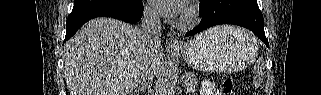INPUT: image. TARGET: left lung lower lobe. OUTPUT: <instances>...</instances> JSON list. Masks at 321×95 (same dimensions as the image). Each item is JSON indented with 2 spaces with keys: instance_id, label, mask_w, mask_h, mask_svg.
<instances>
[{
  "instance_id": "left-lung-lower-lobe-1",
  "label": "left lung lower lobe",
  "mask_w": 321,
  "mask_h": 95,
  "mask_svg": "<svg viewBox=\"0 0 321 95\" xmlns=\"http://www.w3.org/2000/svg\"><path fill=\"white\" fill-rule=\"evenodd\" d=\"M199 25L186 36L220 24H235L253 31L269 47L264 32V19L257 0H200Z\"/></svg>"
}]
</instances>
